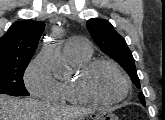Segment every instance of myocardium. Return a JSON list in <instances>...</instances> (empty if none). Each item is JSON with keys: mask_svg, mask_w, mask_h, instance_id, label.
Returning a JSON list of instances; mask_svg holds the SVG:
<instances>
[{"mask_svg": "<svg viewBox=\"0 0 165 120\" xmlns=\"http://www.w3.org/2000/svg\"><path fill=\"white\" fill-rule=\"evenodd\" d=\"M107 65L114 68L122 77L124 82V91L121 96L113 99H103L98 97L91 89L90 79L94 71L102 66ZM76 88L79 94L87 101L111 105L124 100L130 90V80L124 69L116 62L109 59H94L85 64L79 71L76 79Z\"/></svg>", "mask_w": 165, "mask_h": 120, "instance_id": "1", "label": "myocardium"}]
</instances>
